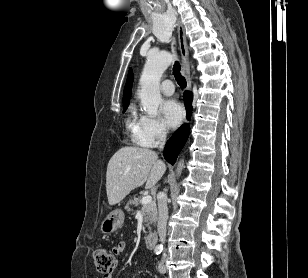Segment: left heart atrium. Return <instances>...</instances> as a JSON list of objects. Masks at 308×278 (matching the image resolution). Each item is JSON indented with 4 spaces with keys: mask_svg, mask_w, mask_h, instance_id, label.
I'll list each match as a JSON object with an SVG mask.
<instances>
[{
    "mask_svg": "<svg viewBox=\"0 0 308 278\" xmlns=\"http://www.w3.org/2000/svg\"><path fill=\"white\" fill-rule=\"evenodd\" d=\"M162 114L165 124L170 128L179 126L184 117V109L176 100H167L162 105Z\"/></svg>",
    "mask_w": 308,
    "mask_h": 278,
    "instance_id": "left-heart-atrium-1",
    "label": "left heart atrium"
}]
</instances>
